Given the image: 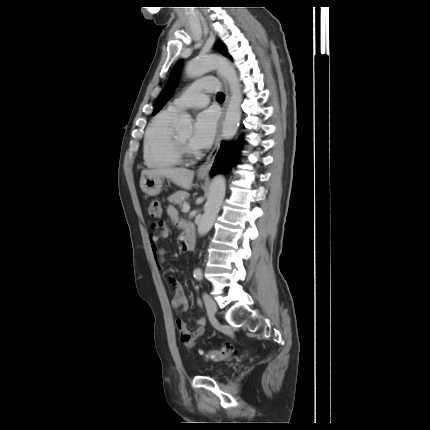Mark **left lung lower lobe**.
Wrapping results in <instances>:
<instances>
[{
  "instance_id": "1",
  "label": "left lung lower lobe",
  "mask_w": 430,
  "mask_h": 430,
  "mask_svg": "<svg viewBox=\"0 0 430 430\" xmlns=\"http://www.w3.org/2000/svg\"><path fill=\"white\" fill-rule=\"evenodd\" d=\"M241 146H235L231 143L223 142L219 152L216 155L214 165L211 169V175L225 171L230 167L239 156Z\"/></svg>"
}]
</instances>
